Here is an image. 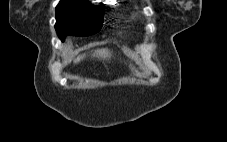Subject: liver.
<instances>
[{
    "instance_id": "liver-1",
    "label": "liver",
    "mask_w": 227,
    "mask_h": 142,
    "mask_svg": "<svg viewBox=\"0 0 227 142\" xmlns=\"http://www.w3.org/2000/svg\"><path fill=\"white\" fill-rule=\"evenodd\" d=\"M92 57H96L98 59H107L111 57V52L108 49H97L95 50L92 55ZM86 57L85 54L79 55L77 56V58H75L73 60V62L75 64L79 63L81 60H83Z\"/></svg>"
}]
</instances>
